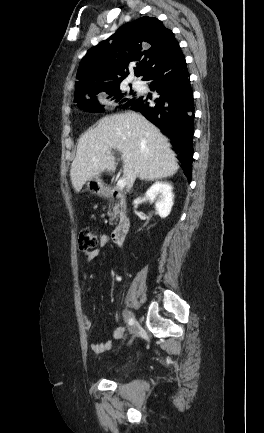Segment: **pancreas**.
<instances>
[{
    "label": "pancreas",
    "mask_w": 264,
    "mask_h": 433,
    "mask_svg": "<svg viewBox=\"0 0 264 433\" xmlns=\"http://www.w3.org/2000/svg\"><path fill=\"white\" fill-rule=\"evenodd\" d=\"M126 212V203L123 198L120 199L119 203H116L113 207V211L109 210L108 215L111 217V221L118 220L119 217H123Z\"/></svg>",
    "instance_id": "cf45deb5"
}]
</instances>
